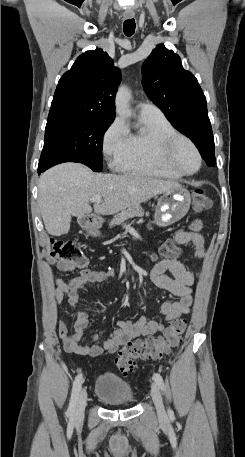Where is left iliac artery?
<instances>
[{"mask_svg":"<svg viewBox=\"0 0 245 457\" xmlns=\"http://www.w3.org/2000/svg\"><path fill=\"white\" fill-rule=\"evenodd\" d=\"M153 379L156 381V383L159 385V387L164 391L165 385H164L162 376L159 373H154ZM168 413L170 416H174V413L171 409L168 410Z\"/></svg>","mask_w":245,"mask_h":457,"instance_id":"obj_1","label":"left iliac artery"}]
</instances>
